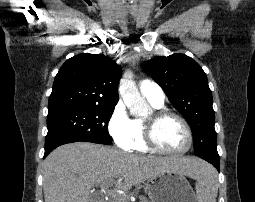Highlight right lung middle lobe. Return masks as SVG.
Instances as JSON below:
<instances>
[{"mask_svg":"<svg viewBox=\"0 0 255 202\" xmlns=\"http://www.w3.org/2000/svg\"><path fill=\"white\" fill-rule=\"evenodd\" d=\"M115 106L90 105L48 114L45 145L58 140L111 143L108 122Z\"/></svg>","mask_w":255,"mask_h":202,"instance_id":"1","label":"right lung middle lobe"}]
</instances>
